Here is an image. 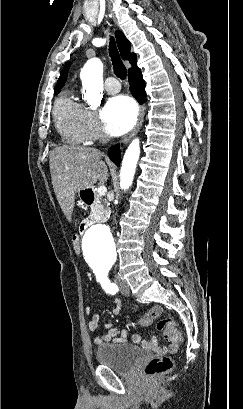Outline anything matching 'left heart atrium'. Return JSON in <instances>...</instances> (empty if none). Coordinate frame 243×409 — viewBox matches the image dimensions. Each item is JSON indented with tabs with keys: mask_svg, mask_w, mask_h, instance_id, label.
Instances as JSON below:
<instances>
[{
	"mask_svg": "<svg viewBox=\"0 0 243 409\" xmlns=\"http://www.w3.org/2000/svg\"><path fill=\"white\" fill-rule=\"evenodd\" d=\"M136 118L135 102L124 95L109 99L101 111L104 129L112 136L128 132L134 126Z\"/></svg>",
	"mask_w": 243,
	"mask_h": 409,
	"instance_id": "39dd6f15",
	"label": "left heart atrium"
}]
</instances>
